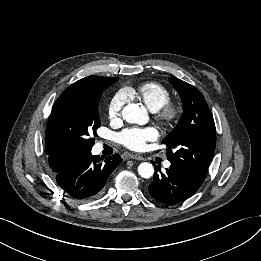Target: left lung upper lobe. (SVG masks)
<instances>
[{"instance_id":"left-lung-upper-lobe-1","label":"left lung upper lobe","mask_w":261,"mask_h":261,"mask_svg":"<svg viewBox=\"0 0 261 261\" xmlns=\"http://www.w3.org/2000/svg\"><path fill=\"white\" fill-rule=\"evenodd\" d=\"M169 81L181 96L183 114L177 127L162 141L167 146V159L204 181L216 145L212 114L198 89L175 77Z\"/></svg>"}]
</instances>
